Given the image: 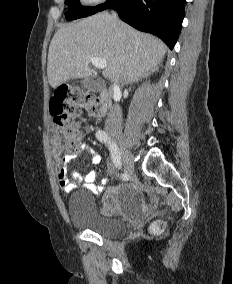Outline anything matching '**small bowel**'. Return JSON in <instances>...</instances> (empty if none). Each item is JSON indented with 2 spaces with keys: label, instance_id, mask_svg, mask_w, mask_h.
<instances>
[{
  "label": "small bowel",
  "instance_id": "c3829d8e",
  "mask_svg": "<svg viewBox=\"0 0 233 284\" xmlns=\"http://www.w3.org/2000/svg\"><path fill=\"white\" fill-rule=\"evenodd\" d=\"M79 152H86L89 155L92 164L94 165L99 164L101 161V157L98 151H96L92 146L88 144H82L79 147L78 152L70 154L62 160V165L58 173V182L60 187L66 192H70L79 186L85 187L95 193L104 191L105 185L107 184V179L104 178L99 185H95L94 182L97 177V172L95 170L90 171L84 176H79L75 182H71L69 180L67 176V165ZM111 209V202L108 200L104 201L102 211L104 213H108Z\"/></svg>",
  "mask_w": 233,
  "mask_h": 284
}]
</instances>
